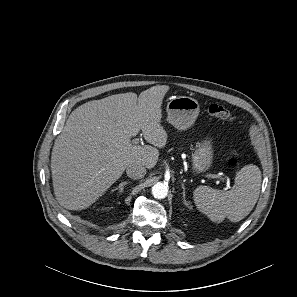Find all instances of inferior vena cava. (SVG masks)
I'll return each instance as SVG.
<instances>
[{
  "mask_svg": "<svg viewBox=\"0 0 297 297\" xmlns=\"http://www.w3.org/2000/svg\"><path fill=\"white\" fill-rule=\"evenodd\" d=\"M126 173L132 179H141L145 176L146 169L141 165H130L127 167Z\"/></svg>",
  "mask_w": 297,
  "mask_h": 297,
  "instance_id": "602c4592",
  "label": "inferior vena cava"
}]
</instances>
